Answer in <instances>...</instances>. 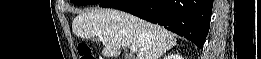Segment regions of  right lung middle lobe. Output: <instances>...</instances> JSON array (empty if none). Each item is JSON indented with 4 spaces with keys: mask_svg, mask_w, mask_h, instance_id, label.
<instances>
[{
    "mask_svg": "<svg viewBox=\"0 0 261 59\" xmlns=\"http://www.w3.org/2000/svg\"><path fill=\"white\" fill-rule=\"evenodd\" d=\"M103 0H71L76 5H88V4H99Z\"/></svg>",
    "mask_w": 261,
    "mask_h": 59,
    "instance_id": "1",
    "label": "right lung middle lobe"
}]
</instances>
